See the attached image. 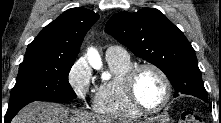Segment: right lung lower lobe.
I'll use <instances>...</instances> for the list:
<instances>
[{
    "instance_id": "1",
    "label": "right lung lower lobe",
    "mask_w": 221,
    "mask_h": 123,
    "mask_svg": "<svg viewBox=\"0 0 221 123\" xmlns=\"http://www.w3.org/2000/svg\"><path fill=\"white\" fill-rule=\"evenodd\" d=\"M16 115V114H15ZM15 115H7V113H6V118H7V120L8 121H11V119L15 116Z\"/></svg>"
}]
</instances>
